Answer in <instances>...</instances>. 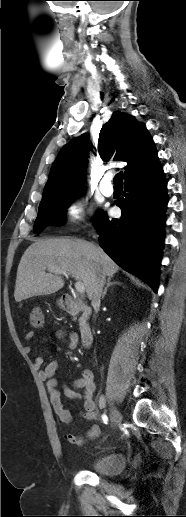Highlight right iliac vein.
<instances>
[{
    "mask_svg": "<svg viewBox=\"0 0 186 517\" xmlns=\"http://www.w3.org/2000/svg\"><path fill=\"white\" fill-rule=\"evenodd\" d=\"M110 418H111V422L114 427L119 426V424L122 421V416H121L120 412L114 407H112L110 410Z\"/></svg>",
    "mask_w": 186,
    "mask_h": 517,
    "instance_id": "right-iliac-vein-1",
    "label": "right iliac vein"
}]
</instances>
